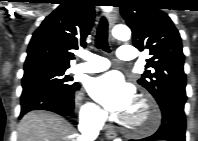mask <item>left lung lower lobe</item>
I'll return each mask as SVG.
<instances>
[{
  "label": "left lung lower lobe",
  "mask_w": 198,
  "mask_h": 141,
  "mask_svg": "<svg viewBox=\"0 0 198 141\" xmlns=\"http://www.w3.org/2000/svg\"><path fill=\"white\" fill-rule=\"evenodd\" d=\"M186 98V95L178 93L161 97L157 102L162 111V124L154 135L144 138L143 141H185L186 120L184 105Z\"/></svg>",
  "instance_id": "1"
}]
</instances>
